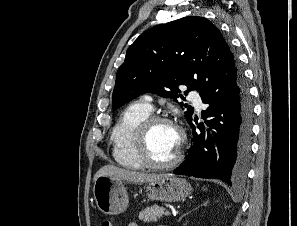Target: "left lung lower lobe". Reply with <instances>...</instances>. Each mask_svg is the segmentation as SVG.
Returning a JSON list of instances; mask_svg holds the SVG:
<instances>
[{"label":"left lung lower lobe","instance_id":"left-lung-lower-lobe-1","mask_svg":"<svg viewBox=\"0 0 297 226\" xmlns=\"http://www.w3.org/2000/svg\"><path fill=\"white\" fill-rule=\"evenodd\" d=\"M206 127L199 124L197 134L192 124L193 139L187 159L174 174L221 179L228 185H241L250 159L253 107L242 74L234 84L210 85L200 92Z\"/></svg>","mask_w":297,"mask_h":226}]
</instances>
